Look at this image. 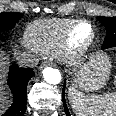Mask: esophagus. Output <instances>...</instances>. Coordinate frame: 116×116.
Returning <instances> with one entry per match:
<instances>
[{
	"label": "esophagus",
	"instance_id": "1",
	"mask_svg": "<svg viewBox=\"0 0 116 116\" xmlns=\"http://www.w3.org/2000/svg\"><path fill=\"white\" fill-rule=\"evenodd\" d=\"M49 65H52V63H51V62H43V63L39 66V69L41 70V69H43L44 67L49 66Z\"/></svg>",
	"mask_w": 116,
	"mask_h": 116
}]
</instances>
